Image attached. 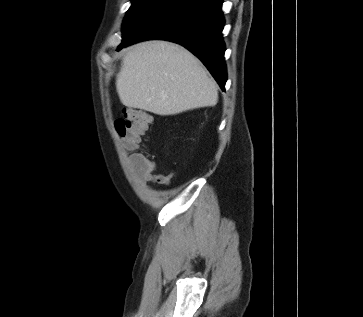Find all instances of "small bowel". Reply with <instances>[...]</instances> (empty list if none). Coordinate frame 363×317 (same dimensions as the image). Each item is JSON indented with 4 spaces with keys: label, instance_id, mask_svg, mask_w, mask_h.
I'll use <instances>...</instances> for the list:
<instances>
[{
    "label": "small bowel",
    "instance_id": "c3829d8e",
    "mask_svg": "<svg viewBox=\"0 0 363 317\" xmlns=\"http://www.w3.org/2000/svg\"><path fill=\"white\" fill-rule=\"evenodd\" d=\"M142 157L143 161L141 163H132L133 167L141 173L142 182L168 185L170 182L169 176L161 173H156V166L154 162L149 160L145 155H143Z\"/></svg>",
    "mask_w": 363,
    "mask_h": 317
}]
</instances>
